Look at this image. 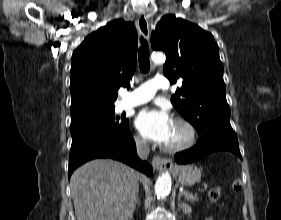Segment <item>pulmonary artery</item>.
Wrapping results in <instances>:
<instances>
[{
	"label": "pulmonary artery",
	"instance_id": "e3ab8cb5",
	"mask_svg": "<svg viewBox=\"0 0 281 220\" xmlns=\"http://www.w3.org/2000/svg\"><path fill=\"white\" fill-rule=\"evenodd\" d=\"M169 83L166 77L158 75L144 82L135 90L123 93L121 105L134 107L150 101L158 90L168 89Z\"/></svg>",
	"mask_w": 281,
	"mask_h": 220
}]
</instances>
